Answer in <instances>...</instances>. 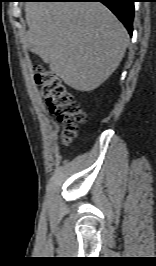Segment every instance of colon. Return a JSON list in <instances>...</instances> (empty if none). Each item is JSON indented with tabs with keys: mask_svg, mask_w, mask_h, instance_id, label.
Segmentation results:
<instances>
[{
	"mask_svg": "<svg viewBox=\"0 0 156 266\" xmlns=\"http://www.w3.org/2000/svg\"><path fill=\"white\" fill-rule=\"evenodd\" d=\"M35 81L42 88L50 112L64 127L62 142L70 143L77 136L78 126L86 121V113L53 71L37 66Z\"/></svg>",
	"mask_w": 156,
	"mask_h": 266,
	"instance_id": "obj_1",
	"label": "colon"
}]
</instances>
